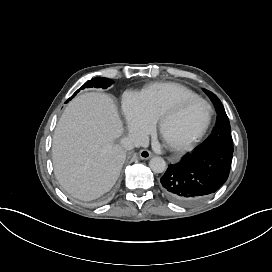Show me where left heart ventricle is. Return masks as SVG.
Here are the masks:
<instances>
[{
	"instance_id": "left-heart-ventricle-1",
	"label": "left heart ventricle",
	"mask_w": 272,
	"mask_h": 272,
	"mask_svg": "<svg viewBox=\"0 0 272 272\" xmlns=\"http://www.w3.org/2000/svg\"><path fill=\"white\" fill-rule=\"evenodd\" d=\"M204 116L205 110L203 106L194 103L181 113L168 115L167 127L173 135L184 139L202 124Z\"/></svg>"
}]
</instances>
